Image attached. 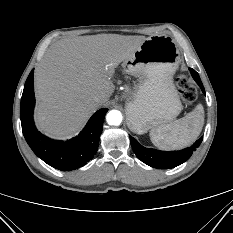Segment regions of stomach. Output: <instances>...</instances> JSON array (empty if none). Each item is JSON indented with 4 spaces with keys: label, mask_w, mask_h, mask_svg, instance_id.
<instances>
[{
    "label": "stomach",
    "mask_w": 233,
    "mask_h": 233,
    "mask_svg": "<svg viewBox=\"0 0 233 233\" xmlns=\"http://www.w3.org/2000/svg\"><path fill=\"white\" fill-rule=\"evenodd\" d=\"M180 63V51L172 38L148 37L124 62L126 71L138 78L126 102L127 125L137 134L174 120L182 110L173 75Z\"/></svg>",
    "instance_id": "stomach-1"
}]
</instances>
